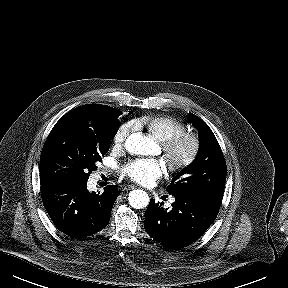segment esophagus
Masks as SVG:
<instances>
[{
    "label": "esophagus",
    "mask_w": 288,
    "mask_h": 288,
    "mask_svg": "<svg viewBox=\"0 0 288 288\" xmlns=\"http://www.w3.org/2000/svg\"><path fill=\"white\" fill-rule=\"evenodd\" d=\"M133 188H134V186H132V185H127V186L124 187V190H130V189H133Z\"/></svg>",
    "instance_id": "obj_1"
}]
</instances>
